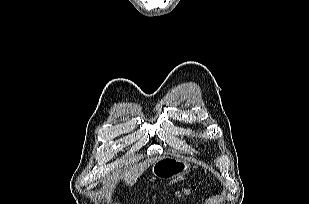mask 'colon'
<instances>
[{"label":"colon","instance_id":"obj_1","mask_svg":"<svg viewBox=\"0 0 309 204\" xmlns=\"http://www.w3.org/2000/svg\"><path fill=\"white\" fill-rule=\"evenodd\" d=\"M195 190V185L191 184L177 192L178 195H189Z\"/></svg>","mask_w":309,"mask_h":204}]
</instances>
